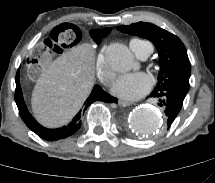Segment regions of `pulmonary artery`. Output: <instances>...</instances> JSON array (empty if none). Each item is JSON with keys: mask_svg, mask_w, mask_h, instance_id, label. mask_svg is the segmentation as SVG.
Returning a JSON list of instances; mask_svg holds the SVG:
<instances>
[{"mask_svg": "<svg viewBox=\"0 0 215 183\" xmlns=\"http://www.w3.org/2000/svg\"><path fill=\"white\" fill-rule=\"evenodd\" d=\"M152 52V47L144 46L140 53L137 55L140 59L145 60Z\"/></svg>", "mask_w": 215, "mask_h": 183, "instance_id": "pulmonary-artery-1", "label": "pulmonary artery"}]
</instances>
